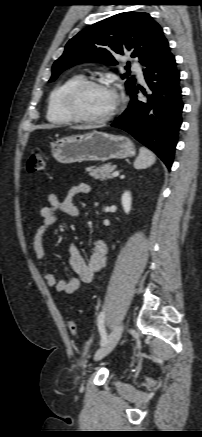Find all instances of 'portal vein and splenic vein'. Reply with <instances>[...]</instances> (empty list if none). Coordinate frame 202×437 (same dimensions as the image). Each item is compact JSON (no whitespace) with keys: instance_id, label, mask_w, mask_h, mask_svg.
<instances>
[{"instance_id":"1","label":"portal vein and splenic vein","mask_w":202,"mask_h":437,"mask_svg":"<svg viewBox=\"0 0 202 437\" xmlns=\"http://www.w3.org/2000/svg\"><path fill=\"white\" fill-rule=\"evenodd\" d=\"M112 175H113V177H117V176H119V172L115 171V172L112 173Z\"/></svg>"}]
</instances>
